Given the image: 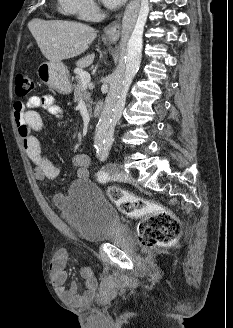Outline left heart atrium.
<instances>
[{
	"instance_id": "39dd6f15",
	"label": "left heart atrium",
	"mask_w": 233,
	"mask_h": 328,
	"mask_svg": "<svg viewBox=\"0 0 233 328\" xmlns=\"http://www.w3.org/2000/svg\"><path fill=\"white\" fill-rule=\"evenodd\" d=\"M125 0H103L104 4L109 8L120 6Z\"/></svg>"
}]
</instances>
